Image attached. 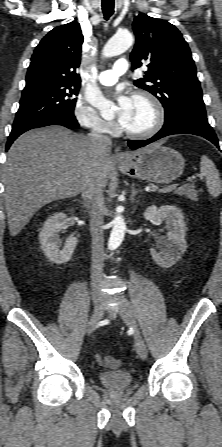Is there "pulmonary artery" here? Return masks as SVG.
Segmentation results:
<instances>
[{"label":"pulmonary artery","instance_id":"e3ab8cb5","mask_svg":"<svg viewBox=\"0 0 222 447\" xmlns=\"http://www.w3.org/2000/svg\"><path fill=\"white\" fill-rule=\"evenodd\" d=\"M128 70V62L125 59L118 60L114 64L113 70H106L99 73L97 79L105 86H110L118 81V78Z\"/></svg>","mask_w":222,"mask_h":447}]
</instances>
